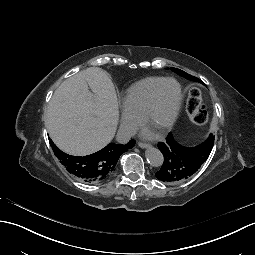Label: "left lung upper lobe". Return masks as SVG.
<instances>
[{
    "instance_id": "left-lung-upper-lobe-1",
    "label": "left lung upper lobe",
    "mask_w": 255,
    "mask_h": 255,
    "mask_svg": "<svg viewBox=\"0 0 255 255\" xmlns=\"http://www.w3.org/2000/svg\"><path fill=\"white\" fill-rule=\"evenodd\" d=\"M171 70L174 71V72H176V73H178L179 75H181V76H183V77L189 79V80L202 82L201 80H199V79H197V78H195V77H193V76H191V75H189V74L185 73L184 71L179 70V69H177V68H171ZM202 83H203V82H202ZM169 135H171V134H169ZM169 135H168V136H169ZM166 139H167V138H166ZM210 139H213V140H214L213 134H210L208 140H210ZM174 142H175V141H174ZM159 144H160V143H159ZM159 144H158V148H159ZM176 145H177V146H180V145L177 144V143H176ZM182 148H183V147H182ZM190 150H192V148H190ZM184 151H185V149H184ZM186 152H187V151H186ZM163 156H164V155H163ZM157 173H158V172L155 173V176H156ZM159 180H160V179H159ZM181 182H182V181H181ZM168 183H172V182H168ZM178 183H179V182H178Z\"/></svg>"
}]
</instances>
